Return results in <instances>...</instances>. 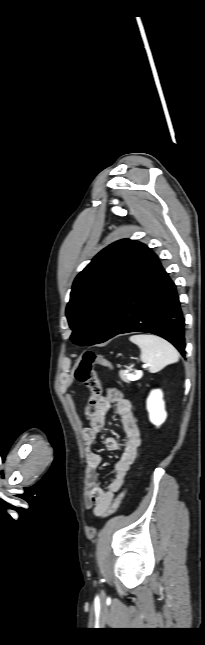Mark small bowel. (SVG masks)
Here are the masks:
<instances>
[{"label":"small bowel","instance_id":"obj_1","mask_svg":"<svg viewBox=\"0 0 205 645\" xmlns=\"http://www.w3.org/2000/svg\"><path fill=\"white\" fill-rule=\"evenodd\" d=\"M112 405L115 406L121 419L124 444L120 459L114 467V476L110 483L104 487L97 474L102 458L93 451L92 446L105 426L106 415ZM82 439L85 444L87 463V505L93 507L95 515H102L111 505L114 495L123 487L141 445V434L133 415L131 402L116 389L107 388L94 406V411L90 416V426L82 430ZM105 446L109 451H116L120 448V442L115 437H108L105 439Z\"/></svg>","mask_w":205,"mask_h":645}]
</instances>
